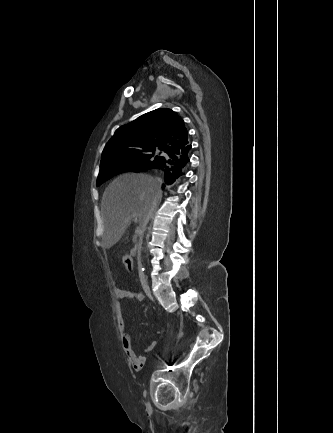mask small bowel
Listing matches in <instances>:
<instances>
[{
	"instance_id": "1",
	"label": "small bowel",
	"mask_w": 333,
	"mask_h": 433,
	"mask_svg": "<svg viewBox=\"0 0 333 433\" xmlns=\"http://www.w3.org/2000/svg\"><path fill=\"white\" fill-rule=\"evenodd\" d=\"M116 297L119 301H122L124 299H134L137 301H141L143 299V295L140 292L133 291V290H126V289H117L116 290ZM118 326L121 333V343L122 346L126 352L127 358L131 366L135 370L142 369L144 363H145V357L138 355L132 346V339L130 334L126 331V323L125 319L123 317L122 312H120V315L118 316ZM157 342L153 341L147 348L146 351L150 352L152 351Z\"/></svg>"
}]
</instances>
